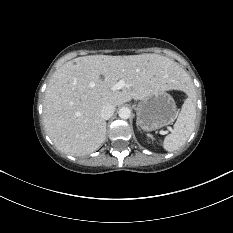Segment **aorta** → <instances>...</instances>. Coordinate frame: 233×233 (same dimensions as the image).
<instances>
[{
	"mask_svg": "<svg viewBox=\"0 0 233 233\" xmlns=\"http://www.w3.org/2000/svg\"><path fill=\"white\" fill-rule=\"evenodd\" d=\"M118 115L121 119H128L131 116V110L128 107L120 108Z\"/></svg>",
	"mask_w": 233,
	"mask_h": 233,
	"instance_id": "aorta-1",
	"label": "aorta"
}]
</instances>
